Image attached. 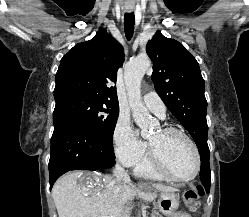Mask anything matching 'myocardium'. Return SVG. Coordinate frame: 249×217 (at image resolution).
I'll return each instance as SVG.
<instances>
[{
  "instance_id": "obj_1",
  "label": "myocardium",
  "mask_w": 249,
  "mask_h": 217,
  "mask_svg": "<svg viewBox=\"0 0 249 217\" xmlns=\"http://www.w3.org/2000/svg\"><path fill=\"white\" fill-rule=\"evenodd\" d=\"M161 131L166 135H178V136L183 137L193 149L195 159H196V166H195L194 172L190 176H187V177L175 176L168 170L161 156L157 153V151L152 146V144L149 143L148 160L152 168L162 177H164L165 179L171 180V181L188 182V181L193 180L198 175L201 169V156H200V152H199V149L196 143L186 132H184L181 129H178L175 127H164L161 129Z\"/></svg>"
}]
</instances>
